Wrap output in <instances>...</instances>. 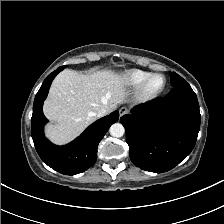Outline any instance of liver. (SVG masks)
Here are the masks:
<instances>
[{"label":"liver","mask_w":224,"mask_h":224,"mask_svg":"<svg viewBox=\"0 0 224 224\" xmlns=\"http://www.w3.org/2000/svg\"><path fill=\"white\" fill-rule=\"evenodd\" d=\"M126 96L125 78L115 71L84 75L66 69L54 79L44 103V114L54 123L46 127V136L54 143H66L93 123L101 108L111 113Z\"/></svg>","instance_id":"obj_1"}]
</instances>
